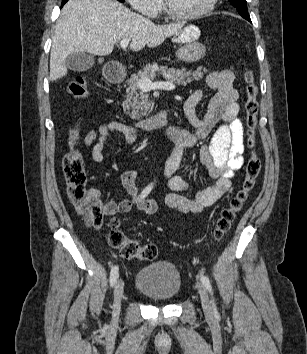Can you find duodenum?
Returning a JSON list of instances; mask_svg holds the SVG:
<instances>
[{
  "label": "duodenum",
  "mask_w": 307,
  "mask_h": 354,
  "mask_svg": "<svg viewBox=\"0 0 307 354\" xmlns=\"http://www.w3.org/2000/svg\"><path fill=\"white\" fill-rule=\"evenodd\" d=\"M106 77L111 83H120L124 80V71L116 66H111L106 71ZM169 120V112L161 111L150 117L139 120L135 127L142 131H151L165 126Z\"/></svg>",
  "instance_id": "1"
}]
</instances>
